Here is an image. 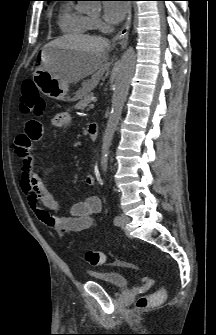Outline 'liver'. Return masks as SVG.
<instances>
[{
  "label": "liver",
  "instance_id": "obj_1",
  "mask_svg": "<svg viewBox=\"0 0 216 335\" xmlns=\"http://www.w3.org/2000/svg\"><path fill=\"white\" fill-rule=\"evenodd\" d=\"M47 46L76 50L78 53L58 76L69 83L77 82L98 71L107 60L105 50L109 41L102 37L88 35H64Z\"/></svg>",
  "mask_w": 216,
  "mask_h": 335
}]
</instances>
